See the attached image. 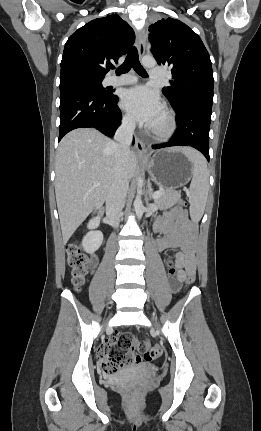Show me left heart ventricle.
<instances>
[{"mask_svg":"<svg viewBox=\"0 0 261 431\" xmlns=\"http://www.w3.org/2000/svg\"><path fill=\"white\" fill-rule=\"evenodd\" d=\"M164 119H163V114L160 117L159 121L156 123V125L154 127H160L163 125Z\"/></svg>","mask_w":261,"mask_h":431,"instance_id":"obj_1","label":"left heart ventricle"}]
</instances>
